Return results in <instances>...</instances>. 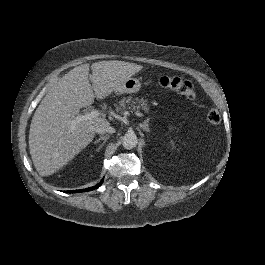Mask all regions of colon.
Segmentation results:
<instances>
[{
	"label": "colon",
	"mask_w": 265,
	"mask_h": 265,
	"mask_svg": "<svg viewBox=\"0 0 265 265\" xmlns=\"http://www.w3.org/2000/svg\"><path fill=\"white\" fill-rule=\"evenodd\" d=\"M159 84L166 89L174 90L188 100L196 98V92L192 83L186 79L176 76H163L159 79ZM207 120L212 125H218L221 121L220 112L216 108H211L207 114Z\"/></svg>",
	"instance_id": "obj_1"
}]
</instances>
